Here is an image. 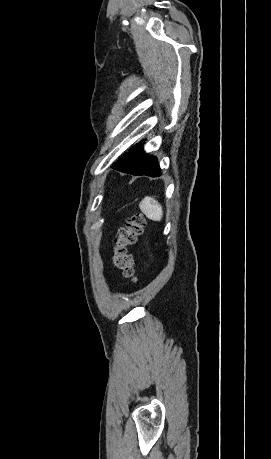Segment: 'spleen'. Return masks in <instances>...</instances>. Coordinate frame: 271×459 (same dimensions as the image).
<instances>
[{
    "label": "spleen",
    "instance_id": "1",
    "mask_svg": "<svg viewBox=\"0 0 271 459\" xmlns=\"http://www.w3.org/2000/svg\"><path fill=\"white\" fill-rule=\"evenodd\" d=\"M139 208L149 220H154V222H160L163 218V210L161 204H158L154 198H149L146 196L142 202L139 204Z\"/></svg>",
    "mask_w": 271,
    "mask_h": 459
}]
</instances>
